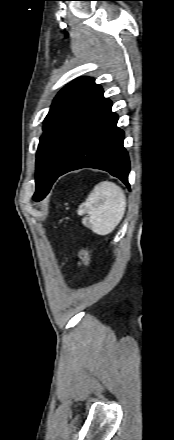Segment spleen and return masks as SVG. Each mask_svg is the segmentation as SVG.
Here are the masks:
<instances>
[{"mask_svg": "<svg viewBox=\"0 0 174 440\" xmlns=\"http://www.w3.org/2000/svg\"><path fill=\"white\" fill-rule=\"evenodd\" d=\"M125 210L126 197L122 188L111 181H102L79 207L78 213H89L82 223L96 234L107 235L120 223Z\"/></svg>", "mask_w": 174, "mask_h": 440, "instance_id": "obj_1", "label": "spleen"}]
</instances>
